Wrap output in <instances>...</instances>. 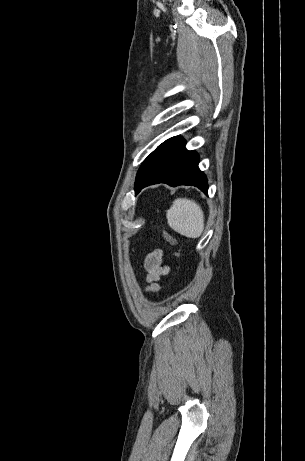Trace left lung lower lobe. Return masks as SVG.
<instances>
[{"label":"left lung lower lobe","instance_id":"0a47b994","mask_svg":"<svg viewBox=\"0 0 305 461\" xmlns=\"http://www.w3.org/2000/svg\"><path fill=\"white\" fill-rule=\"evenodd\" d=\"M184 146L185 140L180 137H172L159 145L152 153L150 170L135 184L136 194L142 188L157 183L193 185L207 194V179L198 168L199 157Z\"/></svg>","mask_w":305,"mask_h":461}]
</instances>
